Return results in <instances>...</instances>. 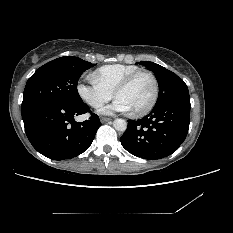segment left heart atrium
Returning <instances> with one entry per match:
<instances>
[{"mask_svg":"<svg viewBox=\"0 0 233 233\" xmlns=\"http://www.w3.org/2000/svg\"><path fill=\"white\" fill-rule=\"evenodd\" d=\"M129 105L121 98L116 97L115 100L108 106L101 109L102 114L113 115L115 113L130 111Z\"/></svg>","mask_w":233,"mask_h":233,"instance_id":"left-heart-atrium-1","label":"left heart atrium"}]
</instances>
